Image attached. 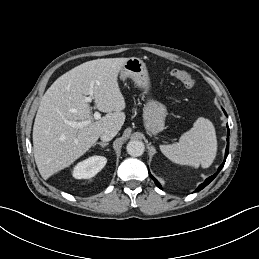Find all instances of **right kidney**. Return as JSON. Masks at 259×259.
<instances>
[{
    "mask_svg": "<svg viewBox=\"0 0 259 259\" xmlns=\"http://www.w3.org/2000/svg\"><path fill=\"white\" fill-rule=\"evenodd\" d=\"M107 159L103 156H92L79 162L73 169V177L76 179H89L94 177L106 165Z\"/></svg>",
    "mask_w": 259,
    "mask_h": 259,
    "instance_id": "obj_1",
    "label": "right kidney"
}]
</instances>
